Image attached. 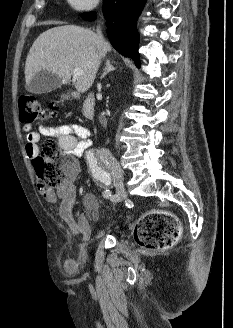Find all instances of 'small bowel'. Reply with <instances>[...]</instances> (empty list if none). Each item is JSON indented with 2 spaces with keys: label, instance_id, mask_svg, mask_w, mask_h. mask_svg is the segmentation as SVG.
<instances>
[{
  "label": "small bowel",
  "instance_id": "small-bowel-1",
  "mask_svg": "<svg viewBox=\"0 0 233 328\" xmlns=\"http://www.w3.org/2000/svg\"><path fill=\"white\" fill-rule=\"evenodd\" d=\"M23 130L26 134L25 151L29 157H34L41 136L52 137L57 139L61 150L65 154L80 157L87 153L92 145L91 132L84 126L76 123H67L54 127L41 126L39 132L31 130L30 124H25ZM74 176L65 183L57 187L55 190L46 188L42 184H38L40 195L50 204L59 202V212L63 220L67 222L73 221V206L76 201V187L73 184ZM80 229L85 228V222L82 218H78ZM69 273H73V266L66 262Z\"/></svg>",
  "mask_w": 233,
  "mask_h": 328
}]
</instances>
